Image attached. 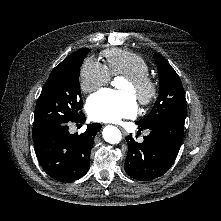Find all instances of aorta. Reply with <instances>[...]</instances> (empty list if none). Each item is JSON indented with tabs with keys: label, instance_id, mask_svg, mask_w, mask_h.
<instances>
[{
	"label": "aorta",
	"instance_id": "762f6f07",
	"mask_svg": "<svg viewBox=\"0 0 221 221\" xmlns=\"http://www.w3.org/2000/svg\"><path fill=\"white\" fill-rule=\"evenodd\" d=\"M103 138L106 142L110 144H117L121 141L122 135L120 130L115 126H106L103 129Z\"/></svg>",
	"mask_w": 221,
	"mask_h": 221
}]
</instances>
